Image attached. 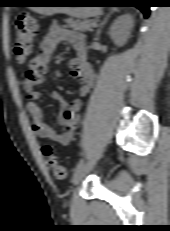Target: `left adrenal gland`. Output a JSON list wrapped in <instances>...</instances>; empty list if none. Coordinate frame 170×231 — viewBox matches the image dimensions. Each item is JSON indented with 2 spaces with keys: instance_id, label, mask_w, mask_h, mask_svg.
Segmentation results:
<instances>
[{
  "instance_id": "1",
  "label": "left adrenal gland",
  "mask_w": 170,
  "mask_h": 231,
  "mask_svg": "<svg viewBox=\"0 0 170 231\" xmlns=\"http://www.w3.org/2000/svg\"><path fill=\"white\" fill-rule=\"evenodd\" d=\"M112 13H113V12H111L110 14H108V15L105 17L104 21L101 23L100 28H99V29L97 30V32H96V37H99L100 32H101V28L105 25V23L107 22L108 18L110 17V15H111Z\"/></svg>"
}]
</instances>
